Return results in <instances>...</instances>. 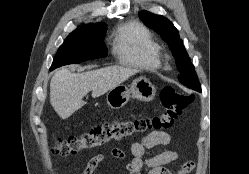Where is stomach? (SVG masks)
<instances>
[{
  "instance_id": "obj_1",
  "label": "stomach",
  "mask_w": 249,
  "mask_h": 174,
  "mask_svg": "<svg viewBox=\"0 0 249 174\" xmlns=\"http://www.w3.org/2000/svg\"><path fill=\"white\" fill-rule=\"evenodd\" d=\"M154 85L145 77L136 78L128 87L119 84L107 93V104L113 109H119L126 105L132 97L140 101H151L155 96Z\"/></svg>"
}]
</instances>
